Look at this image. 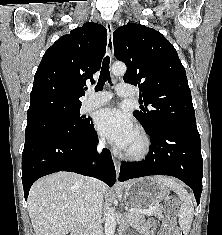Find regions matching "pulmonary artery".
<instances>
[{
  "mask_svg": "<svg viewBox=\"0 0 222 235\" xmlns=\"http://www.w3.org/2000/svg\"><path fill=\"white\" fill-rule=\"evenodd\" d=\"M120 97H133L136 92L133 88L126 84H119L116 90ZM112 98V93L108 91H103L99 93H94L89 91L87 99L83 102L82 111L86 112L96 107H99L110 101Z\"/></svg>",
  "mask_w": 222,
  "mask_h": 235,
  "instance_id": "pulmonary-artery-1",
  "label": "pulmonary artery"
}]
</instances>
